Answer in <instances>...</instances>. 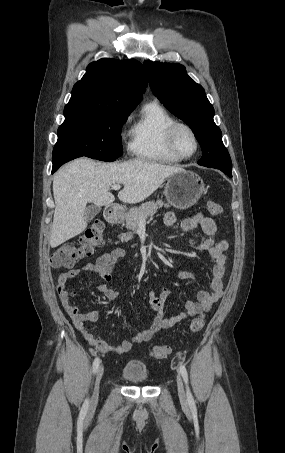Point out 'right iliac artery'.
Masks as SVG:
<instances>
[{"label":"right iliac artery","instance_id":"82829eb1","mask_svg":"<svg viewBox=\"0 0 285 453\" xmlns=\"http://www.w3.org/2000/svg\"><path fill=\"white\" fill-rule=\"evenodd\" d=\"M99 363H100V359L97 357L94 362H93V372L95 373L98 369V366H99ZM88 406H89V399H86L83 406H82V412L83 413H86L87 409H88Z\"/></svg>","mask_w":285,"mask_h":453}]
</instances>
